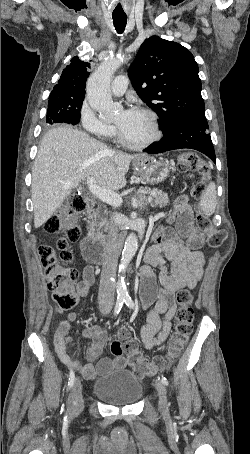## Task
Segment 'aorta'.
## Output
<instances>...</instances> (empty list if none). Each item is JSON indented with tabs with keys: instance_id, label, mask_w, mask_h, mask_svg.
<instances>
[{
	"instance_id": "762f6f07",
	"label": "aorta",
	"mask_w": 250,
	"mask_h": 454,
	"mask_svg": "<svg viewBox=\"0 0 250 454\" xmlns=\"http://www.w3.org/2000/svg\"><path fill=\"white\" fill-rule=\"evenodd\" d=\"M124 58L113 56L102 62L97 69L90 75L86 85L87 100L89 105L100 113L102 117H112L120 109V105L113 102L110 92V83L113 75L123 64ZM138 248V239L134 233H130L125 241L122 257L119 265L121 275L117 286V299L124 300L128 297V292L124 284L122 275L133 259Z\"/></svg>"
}]
</instances>
